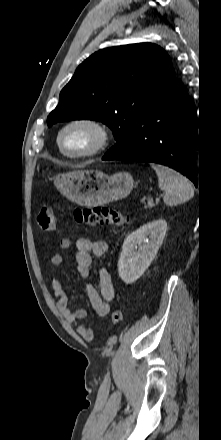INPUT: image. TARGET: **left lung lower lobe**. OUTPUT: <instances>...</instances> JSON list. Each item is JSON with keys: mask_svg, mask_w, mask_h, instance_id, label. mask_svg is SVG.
I'll use <instances>...</instances> for the list:
<instances>
[{"mask_svg": "<svg viewBox=\"0 0 221 440\" xmlns=\"http://www.w3.org/2000/svg\"><path fill=\"white\" fill-rule=\"evenodd\" d=\"M198 124L196 107L174 76L142 112L127 148L118 155L105 154L102 160L163 164L197 185Z\"/></svg>", "mask_w": 221, "mask_h": 440, "instance_id": "obj_1", "label": "left lung lower lobe"}]
</instances>
